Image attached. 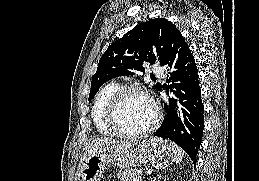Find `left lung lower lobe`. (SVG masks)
Returning a JSON list of instances; mask_svg holds the SVG:
<instances>
[{"instance_id": "0a47b994", "label": "left lung lower lobe", "mask_w": 259, "mask_h": 181, "mask_svg": "<svg viewBox=\"0 0 259 181\" xmlns=\"http://www.w3.org/2000/svg\"><path fill=\"white\" fill-rule=\"evenodd\" d=\"M164 66L170 73L167 82L171 83L165 89L175 98L164 104L167 116L154 136L174 141L195 164L204 129V108L195 60L182 36L175 40Z\"/></svg>"}]
</instances>
